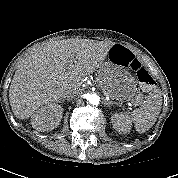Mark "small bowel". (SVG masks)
I'll return each instance as SVG.
<instances>
[{"mask_svg": "<svg viewBox=\"0 0 178 178\" xmlns=\"http://www.w3.org/2000/svg\"><path fill=\"white\" fill-rule=\"evenodd\" d=\"M132 57V54L129 50L119 47L118 48V60L120 61H129Z\"/></svg>", "mask_w": 178, "mask_h": 178, "instance_id": "small-bowel-1", "label": "small bowel"}]
</instances>
